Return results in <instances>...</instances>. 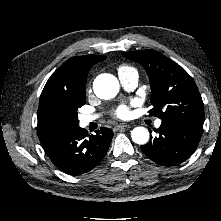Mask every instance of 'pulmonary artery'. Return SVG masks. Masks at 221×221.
Here are the masks:
<instances>
[{
    "label": "pulmonary artery",
    "mask_w": 221,
    "mask_h": 221,
    "mask_svg": "<svg viewBox=\"0 0 221 221\" xmlns=\"http://www.w3.org/2000/svg\"><path fill=\"white\" fill-rule=\"evenodd\" d=\"M118 77L122 87L127 91H132L137 87L139 75L134 69L121 70L118 72ZM98 115H84L81 117V123L83 126L88 125L90 122L96 120ZM162 121L158 119L155 122L156 127H160Z\"/></svg>",
    "instance_id": "obj_1"
}]
</instances>
